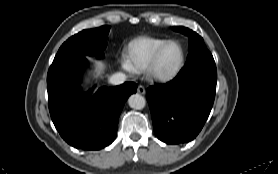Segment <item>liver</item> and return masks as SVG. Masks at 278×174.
Returning a JSON list of instances; mask_svg holds the SVG:
<instances>
[{
	"label": "liver",
	"instance_id": "liver-1",
	"mask_svg": "<svg viewBox=\"0 0 278 174\" xmlns=\"http://www.w3.org/2000/svg\"><path fill=\"white\" fill-rule=\"evenodd\" d=\"M94 62H95V70H94V72H96V76L95 77H97L98 75H100L103 72V70L105 68V65H104V63L102 61L95 60Z\"/></svg>",
	"mask_w": 278,
	"mask_h": 174
}]
</instances>
